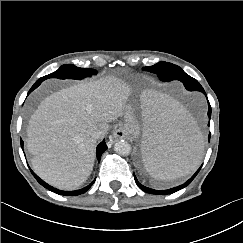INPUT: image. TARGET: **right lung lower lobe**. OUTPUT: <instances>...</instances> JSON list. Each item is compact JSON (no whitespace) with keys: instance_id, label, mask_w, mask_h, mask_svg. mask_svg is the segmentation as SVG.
I'll return each instance as SVG.
<instances>
[{"instance_id":"98d812e1","label":"right lung lower lobe","mask_w":243,"mask_h":243,"mask_svg":"<svg viewBox=\"0 0 243 243\" xmlns=\"http://www.w3.org/2000/svg\"><path fill=\"white\" fill-rule=\"evenodd\" d=\"M42 81L41 80H38L36 81V83L32 86V88L30 89L29 93L31 91H33L35 88H37L40 83ZM21 146L23 147V141L21 140ZM107 145L105 143V140H103L98 146H97V150H96V156H97V159L98 161H100L101 159V155L102 153L107 149ZM33 176L36 178V180L42 185L44 186L45 188L49 189L50 191H53L57 194H60V195H66V196H75V195H79V194H82L84 192H86L90 187L91 185L95 182V180L89 184L88 186H86L85 188L83 189H80V190H76V191H70V192H67V191H61V190H58L56 188H53L52 186L48 185L47 183H45L43 180H41L33 171H31Z\"/></svg>"}]
</instances>
